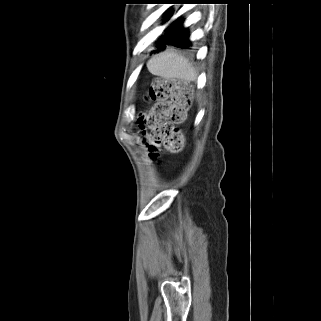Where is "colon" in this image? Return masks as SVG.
Wrapping results in <instances>:
<instances>
[{
	"instance_id": "colon-1",
	"label": "colon",
	"mask_w": 321,
	"mask_h": 321,
	"mask_svg": "<svg viewBox=\"0 0 321 321\" xmlns=\"http://www.w3.org/2000/svg\"><path fill=\"white\" fill-rule=\"evenodd\" d=\"M148 98L155 102L152 113L147 118L154 144L163 145L170 152L181 151L184 137L177 126L184 122L192 103L191 83L157 78L148 90Z\"/></svg>"
}]
</instances>
